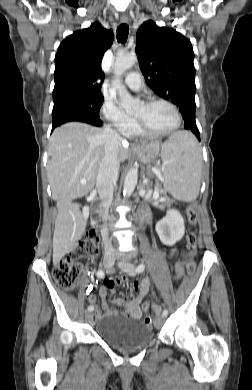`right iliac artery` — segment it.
Wrapping results in <instances>:
<instances>
[{
	"label": "right iliac artery",
	"mask_w": 252,
	"mask_h": 390,
	"mask_svg": "<svg viewBox=\"0 0 252 390\" xmlns=\"http://www.w3.org/2000/svg\"><path fill=\"white\" fill-rule=\"evenodd\" d=\"M96 275H97L98 278H103L104 275H105V273H104L103 270H98L97 273H96ZM93 310H94V307L90 305V306L88 307V311L91 312V311H93Z\"/></svg>",
	"instance_id": "right-iliac-artery-1"
}]
</instances>
